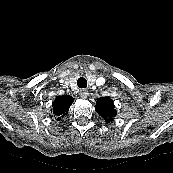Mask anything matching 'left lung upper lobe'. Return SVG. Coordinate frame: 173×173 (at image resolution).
Returning a JSON list of instances; mask_svg holds the SVG:
<instances>
[{"label":"left lung upper lobe","mask_w":173,"mask_h":173,"mask_svg":"<svg viewBox=\"0 0 173 173\" xmlns=\"http://www.w3.org/2000/svg\"><path fill=\"white\" fill-rule=\"evenodd\" d=\"M114 108L113 101L109 97H101L96 101L95 109L107 123L111 122L113 117L117 114Z\"/></svg>","instance_id":"5c2ea615"}]
</instances>
